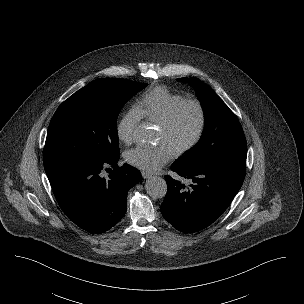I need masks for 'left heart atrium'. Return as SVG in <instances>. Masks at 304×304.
Wrapping results in <instances>:
<instances>
[{
  "instance_id": "39dd6f15",
  "label": "left heart atrium",
  "mask_w": 304,
  "mask_h": 304,
  "mask_svg": "<svg viewBox=\"0 0 304 304\" xmlns=\"http://www.w3.org/2000/svg\"><path fill=\"white\" fill-rule=\"evenodd\" d=\"M175 155L168 145L162 144L155 148L137 147L125 154L128 164L146 172H155L168 163Z\"/></svg>"
}]
</instances>
